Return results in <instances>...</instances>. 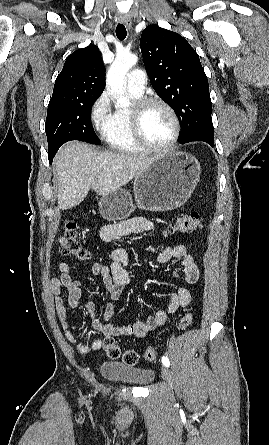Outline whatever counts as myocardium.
Returning a JSON list of instances; mask_svg holds the SVG:
<instances>
[{
	"label": "myocardium",
	"mask_w": 269,
	"mask_h": 445,
	"mask_svg": "<svg viewBox=\"0 0 269 445\" xmlns=\"http://www.w3.org/2000/svg\"><path fill=\"white\" fill-rule=\"evenodd\" d=\"M152 106H160L164 108L171 116L174 125V131L171 138L166 144L160 147H155L149 144L142 132L143 116L145 112ZM130 120H131L132 134L136 143L144 151L149 153L162 154L168 152L176 144L180 136L181 124L177 113L167 102L159 98L149 97L138 100L135 103L134 107L130 110Z\"/></svg>",
	"instance_id": "myocardium-1"
}]
</instances>
